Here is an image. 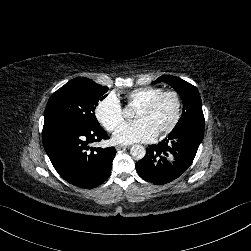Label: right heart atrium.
<instances>
[{
    "label": "right heart atrium",
    "instance_id": "d8ad5b80",
    "mask_svg": "<svg viewBox=\"0 0 251 251\" xmlns=\"http://www.w3.org/2000/svg\"><path fill=\"white\" fill-rule=\"evenodd\" d=\"M95 116L102 126L112 132L123 120V109L119 96L108 93L95 106Z\"/></svg>",
    "mask_w": 251,
    "mask_h": 251
}]
</instances>
